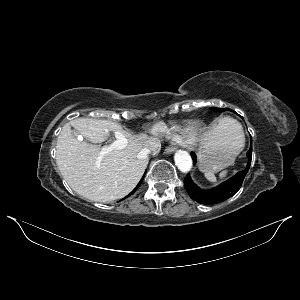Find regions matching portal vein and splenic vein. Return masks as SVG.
I'll use <instances>...</instances> for the list:
<instances>
[{"mask_svg": "<svg viewBox=\"0 0 300 300\" xmlns=\"http://www.w3.org/2000/svg\"><path fill=\"white\" fill-rule=\"evenodd\" d=\"M116 140L109 144L106 147H103L99 153V156L97 158V163L99 164L103 158V156L113 150H119L126 146L127 140L124 138V136L120 133H115Z\"/></svg>", "mask_w": 300, "mask_h": 300, "instance_id": "18ae733b", "label": "portal vein and splenic vein"}]
</instances>
